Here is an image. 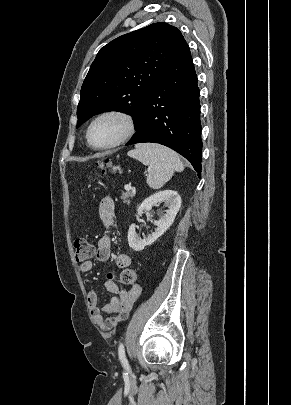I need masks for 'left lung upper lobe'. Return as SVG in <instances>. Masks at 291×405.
Listing matches in <instances>:
<instances>
[{
  "mask_svg": "<svg viewBox=\"0 0 291 405\" xmlns=\"http://www.w3.org/2000/svg\"><path fill=\"white\" fill-rule=\"evenodd\" d=\"M185 43L178 28L159 22L102 47L81 88L77 127L100 112L123 110L137 128L149 90Z\"/></svg>",
  "mask_w": 291,
  "mask_h": 405,
  "instance_id": "obj_1",
  "label": "left lung upper lobe"
}]
</instances>
